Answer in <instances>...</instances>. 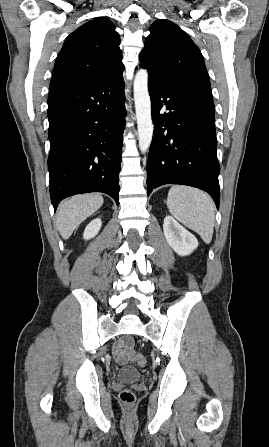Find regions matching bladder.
I'll list each match as a JSON object with an SVG mask.
<instances>
[{
	"mask_svg": "<svg viewBox=\"0 0 269 447\" xmlns=\"http://www.w3.org/2000/svg\"><path fill=\"white\" fill-rule=\"evenodd\" d=\"M118 378L125 381H137L140 379V371L132 366H122L117 375Z\"/></svg>",
	"mask_w": 269,
	"mask_h": 447,
	"instance_id": "1",
	"label": "bladder"
}]
</instances>
